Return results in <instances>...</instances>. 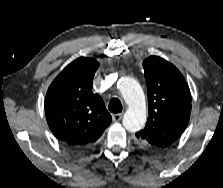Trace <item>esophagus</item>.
Wrapping results in <instances>:
<instances>
[{"instance_id": "34e87169", "label": "esophagus", "mask_w": 223, "mask_h": 188, "mask_svg": "<svg viewBox=\"0 0 223 188\" xmlns=\"http://www.w3.org/2000/svg\"><path fill=\"white\" fill-rule=\"evenodd\" d=\"M123 117V113H116L112 115L113 121H120Z\"/></svg>"}]
</instances>
